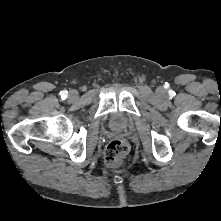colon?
Instances as JSON below:
<instances>
[{"label":"colon","mask_w":221,"mask_h":221,"mask_svg":"<svg viewBox=\"0 0 221 221\" xmlns=\"http://www.w3.org/2000/svg\"><path fill=\"white\" fill-rule=\"evenodd\" d=\"M128 152V144L123 140H113L105 148L104 162L108 167L116 168L122 165Z\"/></svg>","instance_id":"1"}]
</instances>
